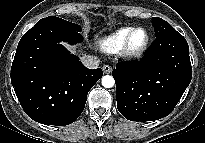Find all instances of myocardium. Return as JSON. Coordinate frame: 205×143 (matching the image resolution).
I'll use <instances>...</instances> for the list:
<instances>
[{
	"instance_id": "obj_1",
	"label": "myocardium",
	"mask_w": 205,
	"mask_h": 143,
	"mask_svg": "<svg viewBox=\"0 0 205 143\" xmlns=\"http://www.w3.org/2000/svg\"><path fill=\"white\" fill-rule=\"evenodd\" d=\"M140 30H142L146 33L145 42L143 43V45L141 47H139L137 49H133L131 47L132 37L137 31H140ZM150 40H151L150 33L148 32V30L146 28H144V27L133 28L130 31V33L127 35L125 42H124V45L121 49L122 56L127 58V59H130V60L140 58L148 49L149 44H150Z\"/></svg>"
}]
</instances>
